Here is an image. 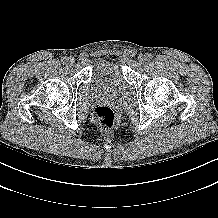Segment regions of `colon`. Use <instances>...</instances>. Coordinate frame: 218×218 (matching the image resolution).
I'll use <instances>...</instances> for the list:
<instances>
[{
	"instance_id": "1",
	"label": "colon",
	"mask_w": 218,
	"mask_h": 218,
	"mask_svg": "<svg viewBox=\"0 0 218 218\" xmlns=\"http://www.w3.org/2000/svg\"><path fill=\"white\" fill-rule=\"evenodd\" d=\"M93 119L101 129L109 130L114 123V112L106 105L98 106L93 111Z\"/></svg>"
}]
</instances>
